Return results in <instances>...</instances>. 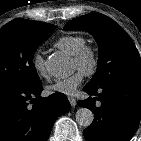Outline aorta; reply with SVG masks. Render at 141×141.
<instances>
[{
    "label": "aorta",
    "mask_w": 141,
    "mask_h": 141,
    "mask_svg": "<svg viewBox=\"0 0 141 141\" xmlns=\"http://www.w3.org/2000/svg\"><path fill=\"white\" fill-rule=\"evenodd\" d=\"M47 71L56 78H65L71 73L69 60L61 55L53 54L45 62ZM76 122L83 127L92 124L94 115L88 108H79L75 115Z\"/></svg>",
    "instance_id": "762f6f07"
}]
</instances>
